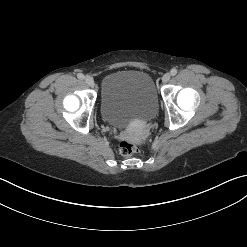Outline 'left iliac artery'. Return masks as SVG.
I'll use <instances>...</instances> for the list:
<instances>
[{
  "label": "left iliac artery",
  "instance_id": "left-iliac-artery-1",
  "mask_svg": "<svg viewBox=\"0 0 247 247\" xmlns=\"http://www.w3.org/2000/svg\"><path fill=\"white\" fill-rule=\"evenodd\" d=\"M177 74V69L176 68H173L172 70H171V75H176Z\"/></svg>",
  "mask_w": 247,
  "mask_h": 247
}]
</instances>
